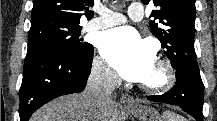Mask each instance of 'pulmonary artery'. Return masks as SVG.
Listing matches in <instances>:
<instances>
[{
    "label": "pulmonary artery",
    "mask_w": 217,
    "mask_h": 121,
    "mask_svg": "<svg viewBox=\"0 0 217 121\" xmlns=\"http://www.w3.org/2000/svg\"><path fill=\"white\" fill-rule=\"evenodd\" d=\"M144 14L143 6L140 3H133L128 9V15L124 16L121 13L111 11L107 8L99 12V17L87 23V30H103L115 25L122 24L127 21H139Z\"/></svg>",
    "instance_id": "pulmonary-artery-1"
}]
</instances>
